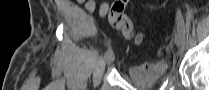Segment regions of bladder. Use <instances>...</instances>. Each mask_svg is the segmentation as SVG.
<instances>
[{
	"instance_id": "obj_1",
	"label": "bladder",
	"mask_w": 209,
	"mask_h": 90,
	"mask_svg": "<svg viewBox=\"0 0 209 90\" xmlns=\"http://www.w3.org/2000/svg\"><path fill=\"white\" fill-rule=\"evenodd\" d=\"M168 75V64L161 61H143L128 68L129 78L142 86H152Z\"/></svg>"
}]
</instances>
